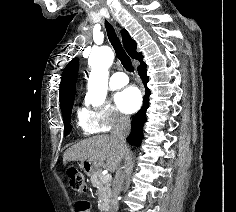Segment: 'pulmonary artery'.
<instances>
[{
  "label": "pulmonary artery",
  "instance_id": "obj_1",
  "mask_svg": "<svg viewBox=\"0 0 236 212\" xmlns=\"http://www.w3.org/2000/svg\"><path fill=\"white\" fill-rule=\"evenodd\" d=\"M129 82L128 76L123 72H117L113 74L109 81V87L111 89H119L125 86Z\"/></svg>",
  "mask_w": 236,
  "mask_h": 212
}]
</instances>
